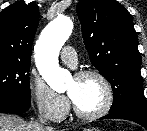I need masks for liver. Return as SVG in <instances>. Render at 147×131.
<instances>
[{
    "label": "liver",
    "mask_w": 147,
    "mask_h": 131,
    "mask_svg": "<svg viewBox=\"0 0 147 131\" xmlns=\"http://www.w3.org/2000/svg\"><path fill=\"white\" fill-rule=\"evenodd\" d=\"M0 131H56L38 122H26L15 115L0 114Z\"/></svg>",
    "instance_id": "obj_1"
}]
</instances>
